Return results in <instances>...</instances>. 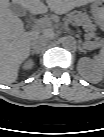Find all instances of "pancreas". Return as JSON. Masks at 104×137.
I'll return each instance as SVG.
<instances>
[{
  "label": "pancreas",
  "mask_w": 104,
  "mask_h": 137,
  "mask_svg": "<svg viewBox=\"0 0 104 137\" xmlns=\"http://www.w3.org/2000/svg\"><path fill=\"white\" fill-rule=\"evenodd\" d=\"M64 21L67 23L83 25L87 29L94 27V25L91 23V20L87 18L86 14L77 11L69 13L67 17L64 19ZM97 46V43L88 42V48H95Z\"/></svg>",
  "instance_id": "pancreas-1"
}]
</instances>
